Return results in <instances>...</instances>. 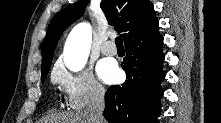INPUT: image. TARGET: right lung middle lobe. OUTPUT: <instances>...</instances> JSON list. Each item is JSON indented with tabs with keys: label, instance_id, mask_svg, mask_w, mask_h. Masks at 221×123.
Wrapping results in <instances>:
<instances>
[{
	"label": "right lung middle lobe",
	"instance_id": "obj_1",
	"mask_svg": "<svg viewBox=\"0 0 221 123\" xmlns=\"http://www.w3.org/2000/svg\"><path fill=\"white\" fill-rule=\"evenodd\" d=\"M50 65H51V64L47 65L46 67H44V68L41 70V73H42L41 80H42V82H44L45 79H46V76H47V74H48V72H49Z\"/></svg>",
	"mask_w": 221,
	"mask_h": 123
}]
</instances>
